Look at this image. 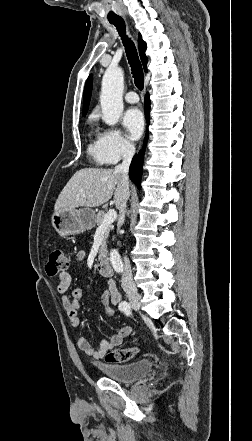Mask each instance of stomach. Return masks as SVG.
I'll use <instances>...</instances> for the list:
<instances>
[{"label":"stomach","instance_id":"1","mask_svg":"<svg viewBox=\"0 0 252 441\" xmlns=\"http://www.w3.org/2000/svg\"><path fill=\"white\" fill-rule=\"evenodd\" d=\"M95 211L85 209L54 211L51 222L61 237L73 236L91 229L95 224Z\"/></svg>","mask_w":252,"mask_h":441}]
</instances>
